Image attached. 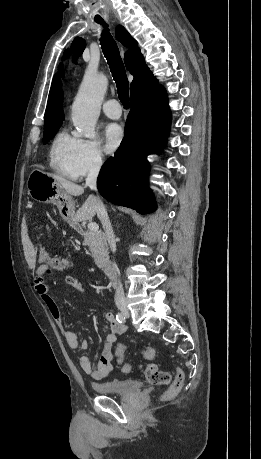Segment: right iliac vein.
I'll use <instances>...</instances> for the list:
<instances>
[{"instance_id":"obj_1","label":"right iliac vein","mask_w":261,"mask_h":459,"mask_svg":"<svg viewBox=\"0 0 261 459\" xmlns=\"http://www.w3.org/2000/svg\"><path fill=\"white\" fill-rule=\"evenodd\" d=\"M118 307H119V309H120L123 313H125V312L128 311V308H127L126 303H120V304L118 305Z\"/></svg>"}]
</instances>
